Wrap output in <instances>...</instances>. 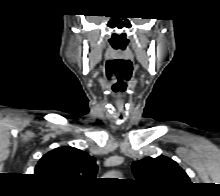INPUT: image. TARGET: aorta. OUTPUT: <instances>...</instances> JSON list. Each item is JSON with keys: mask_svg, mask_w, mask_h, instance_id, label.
I'll return each mask as SVG.
<instances>
[{"mask_svg": "<svg viewBox=\"0 0 220 196\" xmlns=\"http://www.w3.org/2000/svg\"><path fill=\"white\" fill-rule=\"evenodd\" d=\"M110 176H116V174H115V173H113V174H111Z\"/></svg>", "mask_w": 220, "mask_h": 196, "instance_id": "1", "label": "aorta"}]
</instances>
